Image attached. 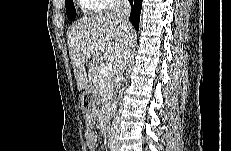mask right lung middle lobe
<instances>
[{
    "mask_svg": "<svg viewBox=\"0 0 231 151\" xmlns=\"http://www.w3.org/2000/svg\"><path fill=\"white\" fill-rule=\"evenodd\" d=\"M65 6L68 19L71 21L74 20L76 17V11L73 0H68L67 2H65Z\"/></svg>",
    "mask_w": 231,
    "mask_h": 151,
    "instance_id": "obj_1",
    "label": "right lung middle lobe"
}]
</instances>
